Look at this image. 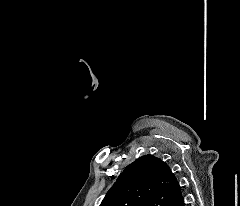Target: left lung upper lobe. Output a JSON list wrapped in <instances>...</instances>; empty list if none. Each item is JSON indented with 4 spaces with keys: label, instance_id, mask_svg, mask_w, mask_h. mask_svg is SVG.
Here are the masks:
<instances>
[{
    "label": "left lung upper lobe",
    "instance_id": "1",
    "mask_svg": "<svg viewBox=\"0 0 240 206\" xmlns=\"http://www.w3.org/2000/svg\"><path fill=\"white\" fill-rule=\"evenodd\" d=\"M180 190L169 166L145 155L127 166L100 206H170Z\"/></svg>",
    "mask_w": 240,
    "mask_h": 206
}]
</instances>
